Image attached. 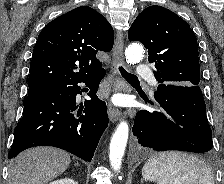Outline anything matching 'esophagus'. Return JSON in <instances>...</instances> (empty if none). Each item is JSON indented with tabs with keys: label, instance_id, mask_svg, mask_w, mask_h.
<instances>
[{
	"label": "esophagus",
	"instance_id": "esophagus-1",
	"mask_svg": "<svg viewBox=\"0 0 224 184\" xmlns=\"http://www.w3.org/2000/svg\"><path fill=\"white\" fill-rule=\"evenodd\" d=\"M123 48H124V37L121 31L117 32L114 49H113V62L111 65V72L113 78H118V66L123 65ZM123 87L121 84L115 82L114 90H121ZM108 116L112 122H116L121 117V112L117 109L109 105L108 107Z\"/></svg>",
	"mask_w": 224,
	"mask_h": 184
}]
</instances>
